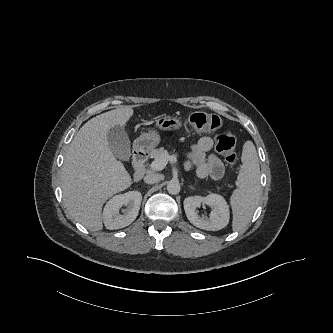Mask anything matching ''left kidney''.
Wrapping results in <instances>:
<instances>
[{"mask_svg":"<svg viewBox=\"0 0 333 333\" xmlns=\"http://www.w3.org/2000/svg\"><path fill=\"white\" fill-rule=\"evenodd\" d=\"M202 203L212 208L209 218H201L196 212V208L200 207ZM184 210L188 220L203 230L217 231L227 226L229 222V206L219 194L187 197L184 200Z\"/></svg>","mask_w":333,"mask_h":333,"instance_id":"5707ae66","label":"left kidney"}]
</instances>
